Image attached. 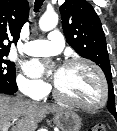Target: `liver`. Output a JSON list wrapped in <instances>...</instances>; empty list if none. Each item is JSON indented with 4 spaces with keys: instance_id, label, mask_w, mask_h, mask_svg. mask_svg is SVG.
Returning <instances> with one entry per match:
<instances>
[{
    "instance_id": "6515ba94",
    "label": "liver",
    "mask_w": 117,
    "mask_h": 131,
    "mask_svg": "<svg viewBox=\"0 0 117 131\" xmlns=\"http://www.w3.org/2000/svg\"><path fill=\"white\" fill-rule=\"evenodd\" d=\"M63 110L0 94V131L7 125H14L12 131H35L47 114Z\"/></svg>"
}]
</instances>
